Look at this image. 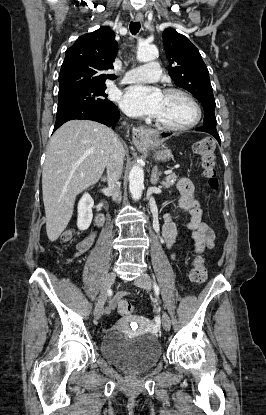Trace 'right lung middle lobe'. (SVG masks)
<instances>
[{
  "instance_id": "right-lung-middle-lobe-1",
  "label": "right lung middle lobe",
  "mask_w": 266,
  "mask_h": 415,
  "mask_svg": "<svg viewBox=\"0 0 266 415\" xmlns=\"http://www.w3.org/2000/svg\"><path fill=\"white\" fill-rule=\"evenodd\" d=\"M106 86H91L68 90L58 94V107L68 105L91 106L98 108L114 107L105 93Z\"/></svg>"
}]
</instances>
